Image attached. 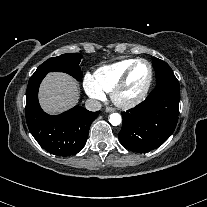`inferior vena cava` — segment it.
I'll use <instances>...</instances> for the list:
<instances>
[{"mask_svg": "<svg viewBox=\"0 0 207 207\" xmlns=\"http://www.w3.org/2000/svg\"><path fill=\"white\" fill-rule=\"evenodd\" d=\"M101 106V102L95 99H87L85 102L86 109L92 112L99 111Z\"/></svg>", "mask_w": 207, "mask_h": 207, "instance_id": "1", "label": "inferior vena cava"}]
</instances>
